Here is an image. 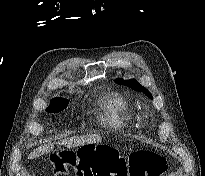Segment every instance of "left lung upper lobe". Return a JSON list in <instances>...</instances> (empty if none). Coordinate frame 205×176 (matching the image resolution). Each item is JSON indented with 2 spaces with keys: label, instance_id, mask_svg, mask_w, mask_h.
<instances>
[{
  "label": "left lung upper lobe",
  "instance_id": "left-lung-upper-lobe-1",
  "mask_svg": "<svg viewBox=\"0 0 205 176\" xmlns=\"http://www.w3.org/2000/svg\"><path fill=\"white\" fill-rule=\"evenodd\" d=\"M117 81L120 82L121 84L131 87L132 89L136 91L143 92L148 97L152 98V94L145 87L140 85L135 79H130V80L117 79Z\"/></svg>",
  "mask_w": 205,
  "mask_h": 176
}]
</instances>
